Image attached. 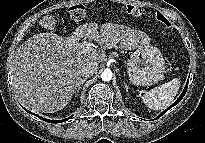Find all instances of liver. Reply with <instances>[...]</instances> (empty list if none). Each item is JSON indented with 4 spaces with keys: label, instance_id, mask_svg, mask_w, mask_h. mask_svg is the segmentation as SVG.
I'll return each mask as SVG.
<instances>
[{
    "label": "liver",
    "instance_id": "liver-1",
    "mask_svg": "<svg viewBox=\"0 0 205 143\" xmlns=\"http://www.w3.org/2000/svg\"><path fill=\"white\" fill-rule=\"evenodd\" d=\"M99 30V31H98ZM89 38L100 47L84 49ZM149 36L125 25L84 23L69 37L54 33L33 35L13 55L12 84L19 101L37 112L53 113L71 100L88 62H103L106 49L134 50L149 45Z\"/></svg>",
    "mask_w": 205,
    "mask_h": 143
}]
</instances>
